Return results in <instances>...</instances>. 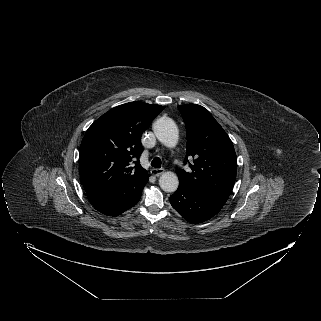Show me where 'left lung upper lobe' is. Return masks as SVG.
<instances>
[{
  "instance_id": "left-lung-upper-lobe-1",
  "label": "left lung upper lobe",
  "mask_w": 321,
  "mask_h": 321,
  "mask_svg": "<svg viewBox=\"0 0 321 321\" xmlns=\"http://www.w3.org/2000/svg\"><path fill=\"white\" fill-rule=\"evenodd\" d=\"M186 126L187 157L192 172H178L179 185L230 195L237 172L234 146L211 113L197 104L178 106Z\"/></svg>"
}]
</instances>
